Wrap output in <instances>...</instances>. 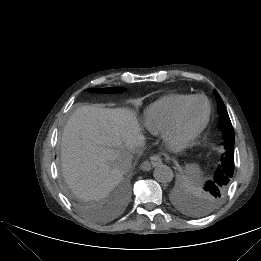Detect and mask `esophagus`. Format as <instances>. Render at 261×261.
Listing matches in <instances>:
<instances>
[{"mask_svg":"<svg viewBox=\"0 0 261 261\" xmlns=\"http://www.w3.org/2000/svg\"><path fill=\"white\" fill-rule=\"evenodd\" d=\"M162 158L159 156V155H153L150 157V164L153 166V167H156L160 164H162ZM143 168H146V165L144 164L143 165Z\"/></svg>","mask_w":261,"mask_h":261,"instance_id":"34e87169","label":"esophagus"}]
</instances>
